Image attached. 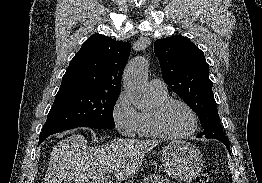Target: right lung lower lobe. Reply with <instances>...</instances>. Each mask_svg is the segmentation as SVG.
Masks as SVG:
<instances>
[{"label":"right lung lower lobe","mask_w":262,"mask_h":183,"mask_svg":"<svg viewBox=\"0 0 262 183\" xmlns=\"http://www.w3.org/2000/svg\"><path fill=\"white\" fill-rule=\"evenodd\" d=\"M60 132H61V131H60ZM54 133H58V132H42V133L40 134V136H39L38 146L40 145V143L43 142V140H44L45 138H47L48 136H50V135H52V134H54Z\"/></svg>","instance_id":"obj_1"}]
</instances>
